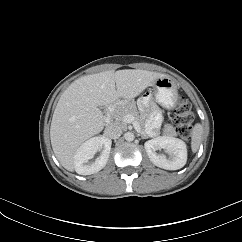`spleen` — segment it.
<instances>
[{
	"mask_svg": "<svg viewBox=\"0 0 242 242\" xmlns=\"http://www.w3.org/2000/svg\"><path fill=\"white\" fill-rule=\"evenodd\" d=\"M203 127L201 124L197 123L191 133V148L193 152H196L199 148L201 137H202Z\"/></svg>",
	"mask_w": 242,
	"mask_h": 242,
	"instance_id": "spleen-1",
	"label": "spleen"
}]
</instances>
